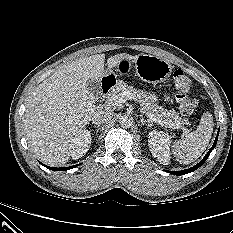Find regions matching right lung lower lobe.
Segmentation results:
<instances>
[{"instance_id": "right-lung-lower-lobe-1", "label": "right lung lower lobe", "mask_w": 233, "mask_h": 233, "mask_svg": "<svg viewBox=\"0 0 233 233\" xmlns=\"http://www.w3.org/2000/svg\"><path fill=\"white\" fill-rule=\"evenodd\" d=\"M44 166L47 167L48 169L55 170V171H65V170H69V169L75 168L77 165L70 166V167H65V168H54V167H48L46 165H44Z\"/></svg>"}]
</instances>
